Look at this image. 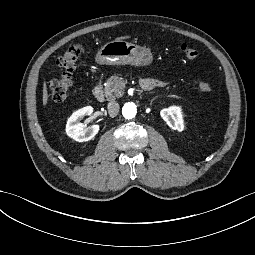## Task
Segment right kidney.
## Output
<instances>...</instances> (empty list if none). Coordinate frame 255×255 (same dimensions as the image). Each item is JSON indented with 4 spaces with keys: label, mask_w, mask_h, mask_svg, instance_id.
I'll return each instance as SVG.
<instances>
[{
    "label": "right kidney",
    "mask_w": 255,
    "mask_h": 255,
    "mask_svg": "<svg viewBox=\"0 0 255 255\" xmlns=\"http://www.w3.org/2000/svg\"><path fill=\"white\" fill-rule=\"evenodd\" d=\"M94 109L91 106H87L75 111L69 118L66 125V133L68 137L78 142H87L95 137L99 131V125H92L91 128H87L86 124L80 121L88 115L93 113Z\"/></svg>",
    "instance_id": "1"
}]
</instances>
